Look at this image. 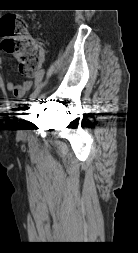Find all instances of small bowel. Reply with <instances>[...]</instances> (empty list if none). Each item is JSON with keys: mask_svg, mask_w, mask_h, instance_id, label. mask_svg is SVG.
Instances as JSON below:
<instances>
[{"mask_svg": "<svg viewBox=\"0 0 138 253\" xmlns=\"http://www.w3.org/2000/svg\"><path fill=\"white\" fill-rule=\"evenodd\" d=\"M3 60L0 57V67L2 66ZM44 71L41 70L36 79L43 75ZM34 81L32 79L24 80L21 83H15L13 80H9L6 84V88L10 91L16 98H22L25 94L32 88Z\"/></svg>", "mask_w": 138, "mask_h": 253, "instance_id": "small-bowel-1", "label": "small bowel"}]
</instances>
